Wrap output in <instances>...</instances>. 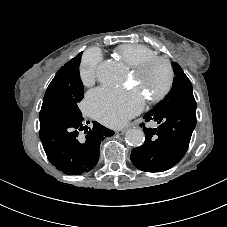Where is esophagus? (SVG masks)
I'll use <instances>...</instances> for the list:
<instances>
[{
    "mask_svg": "<svg viewBox=\"0 0 227 227\" xmlns=\"http://www.w3.org/2000/svg\"><path fill=\"white\" fill-rule=\"evenodd\" d=\"M126 130L127 129H125V128L124 129H119V130L116 131V133L119 134V135H123L126 132Z\"/></svg>",
    "mask_w": 227,
    "mask_h": 227,
    "instance_id": "1",
    "label": "esophagus"
}]
</instances>
